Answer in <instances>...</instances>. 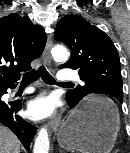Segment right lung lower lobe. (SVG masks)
<instances>
[{"label": "right lung lower lobe", "mask_w": 130, "mask_h": 153, "mask_svg": "<svg viewBox=\"0 0 130 153\" xmlns=\"http://www.w3.org/2000/svg\"><path fill=\"white\" fill-rule=\"evenodd\" d=\"M15 85L0 87V123L11 129L19 138L23 146L29 150L31 141L37 131L36 127L16 114L21 109V102H4L1 100L3 94L7 93L8 88Z\"/></svg>", "instance_id": "right-lung-lower-lobe-1"}]
</instances>
